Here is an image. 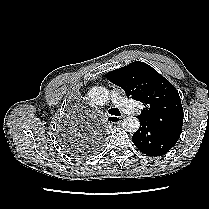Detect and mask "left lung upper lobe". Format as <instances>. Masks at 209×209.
<instances>
[{
	"label": "left lung upper lobe",
	"instance_id": "obj_1",
	"mask_svg": "<svg viewBox=\"0 0 209 209\" xmlns=\"http://www.w3.org/2000/svg\"><path fill=\"white\" fill-rule=\"evenodd\" d=\"M106 78L123 88L128 97L144 104L139 120L170 132L181 133L183 108L176 88L154 68L136 61L107 73Z\"/></svg>",
	"mask_w": 209,
	"mask_h": 209
}]
</instances>
